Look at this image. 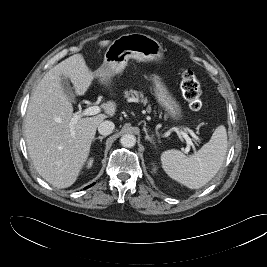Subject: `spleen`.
I'll return each instance as SVG.
<instances>
[{"instance_id":"spleen-1","label":"spleen","mask_w":267,"mask_h":267,"mask_svg":"<svg viewBox=\"0 0 267 267\" xmlns=\"http://www.w3.org/2000/svg\"><path fill=\"white\" fill-rule=\"evenodd\" d=\"M228 147L227 133L223 125L218 126L209 142L190 156L171 149L161 154L162 168L166 174L180 184L199 189L219 171L225 160Z\"/></svg>"}]
</instances>
